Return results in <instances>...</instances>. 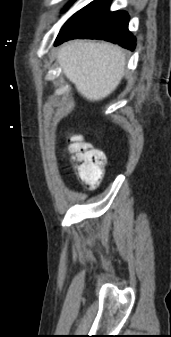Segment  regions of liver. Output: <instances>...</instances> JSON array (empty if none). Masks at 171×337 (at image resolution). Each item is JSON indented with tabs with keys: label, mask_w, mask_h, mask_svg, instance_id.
I'll return each instance as SVG.
<instances>
[{
	"label": "liver",
	"mask_w": 171,
	"mask_h": 337,
	"mask_svg": "<svg viewBox=\"0 0 171 337\" xmlns=\"http://www.w3.org/2000/svg\"><path fill=\"white\" fill-rule=\"evenodd\" d=\"M64 75L87 100L99 101L120 84L125 71V54L110 43L75 40L58 51Z\"/></svg>",
	"instance_id": "1"
}]
</instances>
